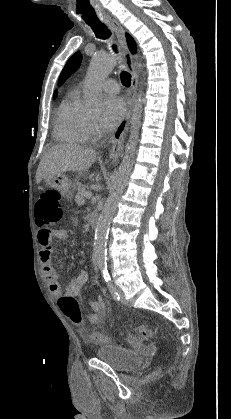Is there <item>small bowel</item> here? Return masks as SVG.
I'll use <instances>...</instances> for the list:
<instances>
[{
    "label": "small bowel",
    "mask_w": 231,
    "mask_h": 419,
    "mask_svg": "<svg viewBox=\"0 0 231 419\" xmlns=\"http://www.w3.org/2000/svg\"><path fill=\"white\" fill-rule=\"evenodd\" d=\"M67 236L65 229L50 230L43 227L38 231L37 239L40 245V260L43 272L50 283V290L54 298L59 299L62 295V289L59 285L57 272L52 265V253L54 250V241L63 240ZM88 281V273L86 270H80L75 277L68 283L65 294L74 298H79L82 288ZM92 312L88 314L87 320L92 325H99L106 315V303L102 296H97L91 303ZM133 343H137L132 338Z\"/></svg>",
    "instance_id": "obj_1"
}]
</instances>
